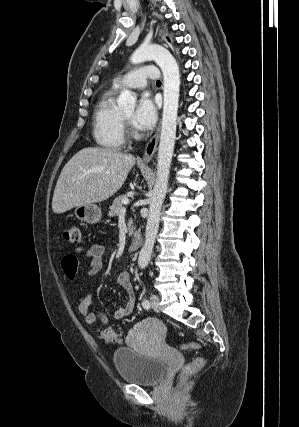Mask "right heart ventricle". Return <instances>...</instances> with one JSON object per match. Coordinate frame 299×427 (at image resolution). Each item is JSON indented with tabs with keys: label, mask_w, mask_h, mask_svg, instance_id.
<instances>
[{
	"label": "right heart ventricle",
	"mask_w": 299,
	"mask_h": 427,
	"mask_svg": "<svg viewBox=\"0 0 299 427\" xmlns=\"http://www.w3.org/2000/svg\"><path fill=\"white\" fill-rule=\"evenodd\" d=\"M115 86L105 90L98 99L93 115V137L106 150H119L125 142L124 124L115 107Z\"/></svg>",
	"instance_id": "obj_1"
}]
</instances>
